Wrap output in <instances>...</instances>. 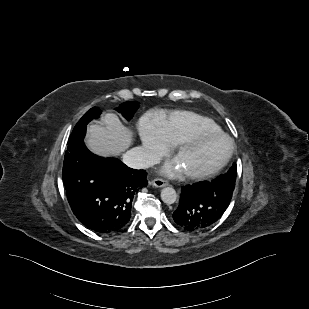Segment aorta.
Masks as SVG:
<instances>
[{
    "label": "aorta",
    "mask_w": 309,
    "mask_h": 309,
    "mask_svg": "<svg viewBox=\"0 0 309 309\" xmlns=\"http://www.w3.org/2000/svg\"><path fill=\"white\" fill-rule=\"evenodd\" d=\"M161 199L165 204H173L177 199V193L172 187H165L161 191Z\"/></svg>",
    "instance_id": "762f6f07"
}]
</instances>
